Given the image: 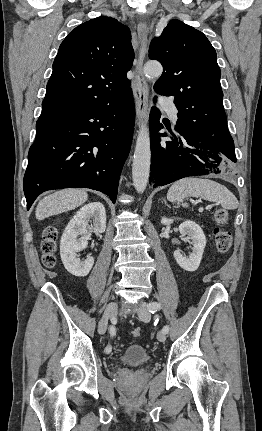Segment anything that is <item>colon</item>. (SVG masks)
<instances>
[{"label":"colon","instance_id":"1","mask_svg":"<svg viewBox=\"0 0 262 431\" xmlns=\"http://www.w3.org/2000/svg\"><path fill=\"white\" fill-rule=\"evenodd\" d=\"M215 217L219 224L214 231L215 247L218 253L225 254L230 251L232 246V235L231 233L222 227V225L228 223L230 219V213L224 208H218L215 211ZM58 236V230L56 226L50 225L44 228L41 240V250L43 253V264L52 268L56 264V241ZM141 328L137 327L132 331L134 337L141 335Z\"/></svg>","mask_w":262,"mask_h":431}]
</instances>
